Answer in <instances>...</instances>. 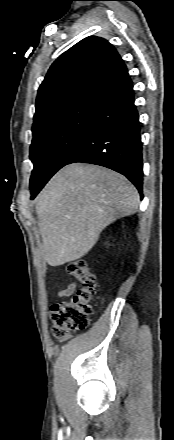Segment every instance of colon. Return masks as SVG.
Segmentation results:
<instances>
[{
	"label": "colon",
	"mask_w": 174,
	"mask_h": 440,
	"mask_svg": "<svg viewBox=\"0 0 174 440\" xmlns=\"http://www.w3.org/2000/svg\"><path fill=\"white\" fill-rule=\"evenodd\" d=\"M68 272L81 283V288L65 301L53 304L50 310L53 335L60 341L73 330L85 329L89 324L91 302L96 295L97 283L89 265L76 260L68 264Z\"/></svg>",
	"instance_id": "1"
}]
</instances>
